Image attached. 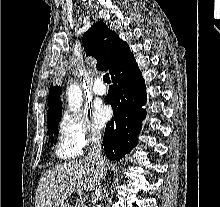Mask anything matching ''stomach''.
I'll return each mask as SVG.
<instances>
[{
    "label": "stomach",
    "mask_w": 220,
    "mask_h": 207,
    "mask_svg": "<svg viewBox=\"0 0 220 207\" xmlns=\"http://www.w3.org/2000/svg\"><path fill=\"white\" fill-rule=\"evenodd\" d=\"M62 207H69V205H63Z\"/></svg>",
    "instance_id": "1"
}]
</instances>
